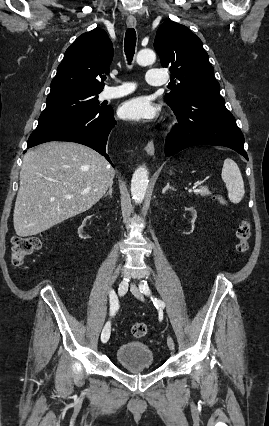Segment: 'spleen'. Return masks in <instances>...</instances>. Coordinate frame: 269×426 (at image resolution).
Returning <instances> with one entry per match:
<instances>
[{"instance_id":"3e777b00","label":"spleen","mask_w":269,"mask_h":426,"mask_svg":"<svg viewBox=\"0 0 269 426\" xmlns=\"http://www.w3.org/2000/svg\"><path fill=\"white\" fill-rule=\"evenodd\" d=\"M221 177L226 184L229 200L234 204L241 202L245 194L244 182L235 161L230 158L224 160Z\"/></svg>"}]
</instances>
